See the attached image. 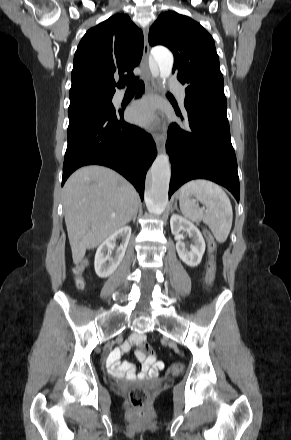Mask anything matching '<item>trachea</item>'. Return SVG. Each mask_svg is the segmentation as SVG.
Segmentation results:
<instances>
[{
	"label": "trachea",
	"mask_w": 291,
	"mask_h": 440,
	"mask_svg": "<svg viewBox=\"0 0 291 440\" xmlns=\"http://www.w3.org/2000/svg\"><path fill=\"white\" fill-rule=\"evenodd\" d=\"M128 88H137V80L131 79V80H124Z\"/></svg>",
	"instance_id": "1"
}]
</instances>
